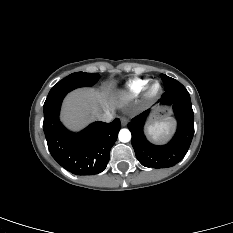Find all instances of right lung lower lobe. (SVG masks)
<instances>
[{"mask_svg": "<svg viewBox=\"0 0 233 233\" xmlns=\"http://www.w3.org/2000/svg\"><path fill=\"white\" fill-rule=\"evenodd\" d=\"M63 98L44 103L43 129L51 155L63 168L76 175L104 171L121 128L120 120L94 122L83 131L72 133L59 121Z\"/></svg>", "mask_w": 233, "mask_h": 233, "instance_id": "right-lung-lower-lobe-1", "label": "right lung lower lobe"}]
</instances>
